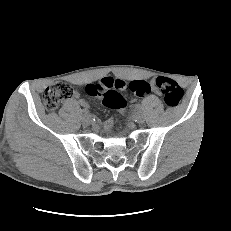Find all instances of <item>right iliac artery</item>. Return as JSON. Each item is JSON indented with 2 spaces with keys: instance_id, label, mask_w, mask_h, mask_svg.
Masks as SVG:
<instances>
[{
  "instance_id": "right-iliac-artery-1",
  "label": "right iliac artery",
  "mask_w": 231,
  "mask_h": 231,
  "mask_svg": "<svg viewBox=\"0 0 231 231\" xmlns=\"http://www.w3.org/2000/svg\"><path fill=\"white\" fill-rule=\"evenodd\" d=\"M83 113L85 114V115H88L89 114V110L88 109H83Z\"/></svg>"
}]
</instances>
